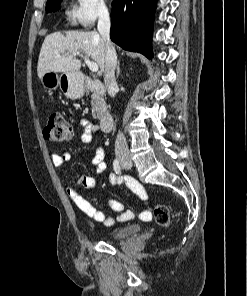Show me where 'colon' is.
Here are the masks:
<instances>
[{
	"label": "colon",
	"mask_w": 247,
	"mask_h": 296,
	"mask_svg": "<svg viewBox=\"0 0 247 296\" xmlns=\"http://www.w3.org/2000/svg\"><path fill=\"white\" fill-rule=\"evenodd\" d=\"M44 133L46 138L50 141L62 143L72 138L73 128L63 114L53 112L49 117ZM153 216L159 226L163 228H168L170 226V215L167 206L163 204L156 205L153 209ZM144 217L147 219L149 215L146 214Z\"/></svg>",
	"instance_id": "obj_1"
}]
</instances>
